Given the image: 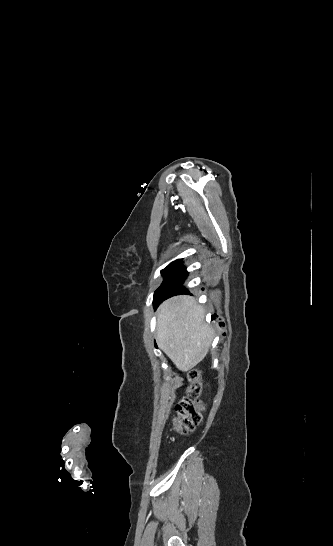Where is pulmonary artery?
Here are the masks:
<instances>
[{"mask_svg": "<svg viewBox=\"0 0 333 546\" xmlns=\"http://www.w3.org/2000/svg\"><path fill=\"white\" fill-rule=\"evenodd\" d=\"M272 14H283V13L278 12V13H272Z\"/></svg>", "mask_w": 333, "mask_h": 546, "instance_id": "pulmonary-artery-1", "label": "pulmonary artery"}]
</instances>
